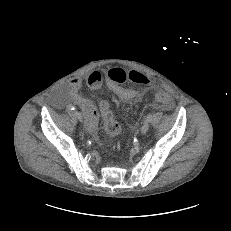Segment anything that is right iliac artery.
Wrapping results in <instances>:
<instances>
[{"mask_svg": "<svg viewBox=\"0 0 231 231\" xmlns=\"http://www.w3.org/2000/svg\"><path fill=\"white\" fill-rule=\"evenodd\" d=\"M67 108H68L69 110H75V107L72 106V105H68Z\"/></svg>", "mask_w": 231, "mask_h": 231, "instance_id": "82829eb1", "label": "right iliac artery"}]
</instances>
